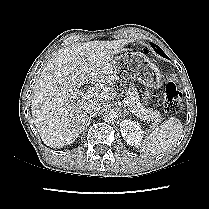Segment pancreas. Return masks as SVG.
<instances>
[{
  "instance_id": "1",
  "label": "pancreas",
  "mask_w": 209,
  "mask_h": 209,
  "mask_svg": "<svg viewBox=\"0 0 209 209\" xmlns=\"http://www.w3.org/2000/svg\"><path fill=\"white\" fill-rule=\"evenodd\" d=\"M128 101V108L140 119L152 122L153 125H157L161 120L162 116L157 110L152 108H144L139 101V93L134 85H131L126 90V98Z\"/></svg>"
}]
</instances>
